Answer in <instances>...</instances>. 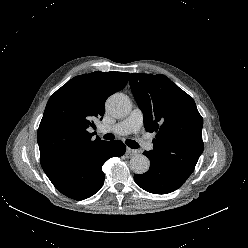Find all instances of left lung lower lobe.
Masks as SVG:
<instances>
[{
	"mask_svg": "<svg viewBox=\"0 0 248 248\" xmlns=\"http://www.w3.org/2000/svg\"><path fill=\"white\" fill-rule=\"evenodd\" d=\"M150 159V169L144 174L134 175V180L142 189L154 194H167L178 189L185 181L169 168L152 159L148 152L143 153Z\"/></svg>",
	"mask_w": 248,
	"mask_h": 248,
	"instance_id": "0a47b994",
	"label": "left lung lower lobe"
}]
</instances>
